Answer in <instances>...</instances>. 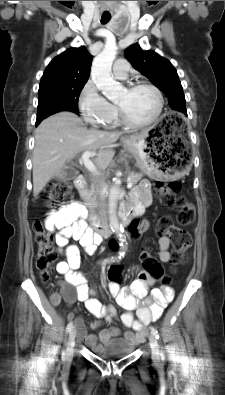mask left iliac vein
<instances>
[{
	"label": "left iliac vein",
	"mask_w": 225,
	"mask_h": 395,
	"mask_svg": "<svg viewBox=\"0 0 225 395\" xmlns=\"http://www.w3.org/2000/svg\"><path fill=\"white\" fill-rule=\"evenodd\" d=\"M149 342H150V346L152 349L153 359L156 361H159L160 360L159 345H158V342H157L154 334H152V333L149 335Z\"/></svg>",
	"instance_id": "1"
}]
</instances>
